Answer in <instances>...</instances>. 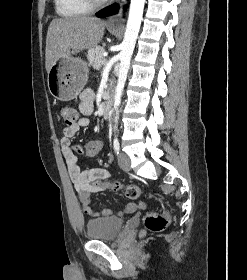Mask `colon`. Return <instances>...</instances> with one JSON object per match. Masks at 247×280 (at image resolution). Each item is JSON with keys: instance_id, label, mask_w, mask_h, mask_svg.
I'll use <instances>...</instances> for the list:
<instances>
[{"instance_id": "5ec220e1", "label": "colon", "mask_w": 247, "mask_h": 280, "mask_svg": "<svg viewBox=\"0 0 247 280\" xmlns=\"http://www.w3.org/2000/svg\"><path fill=\"white\" fill-rule=\"evenodd\" d=\"M60 115L63 121L67 125H73L78 120L77 111L71 106H62L60 108ZM103 138L101 136H96L94 141H90L83 145L81 148L79 145H76L74 148L76 149L74 152L77 154L82 153L86 156H95L102 149ZM81 148V149H80ZM80 149V150H79ZM94 187H107L110 190H122L125 195L130 199H137L142 194V189L135 184H121L118 182H111L109 180H94ZM169 222V214L167 211L163 212H149L144 219L145 229L151 232H159L162 231Z\"/></svg>"}]
</instances>
